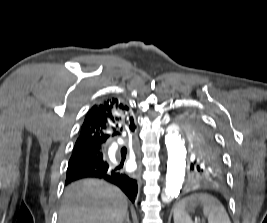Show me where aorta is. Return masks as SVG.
Returning a JSON list of instances; mask_svg holds the SVG:
<instances>
[{"instance_id":"aorta-1","label":"aorta","mask_w":267,"mask_h":223,"mask_svg":"<svg viewBox=\"0 0 267 223\" xmlns=\"http://www.w3.org/2000/svg\"><path fill=\"white\" fill-rule=\"evenodd\" d=\"M168 152L166 183L162 202H169L176 198L182 189L186 169L185 142L180 134V127L176 123L169 125L165 135Z\"/></svg>"}]
</instances>
